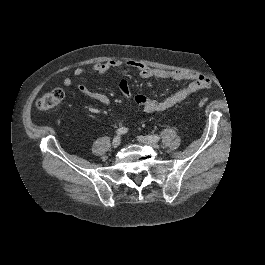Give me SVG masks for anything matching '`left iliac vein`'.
<instances>
[{
  "mask_svg": "<svg viewBox=\"0 0 265 265\" xmlns=\"http://www.w3.org/2000/svg\"><path fill=\"white\" fill-rule=\"evenodd\" d=\"M137 140L143 144H148V145H151L153 147H157V142H155L154 140H152L148 136H138Z\"/></svg>",
  "mask_w": 265,
  "mask_h": 265,
  "instance_id": "left-iliac-vein-1",
  "label": "left iliac vein"
}]
</instances>
